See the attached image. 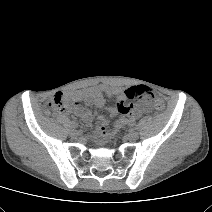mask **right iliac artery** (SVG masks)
<instances>
[{"label": "right iliac artery", "mask_w": 212, "mask_h": 212, "mask_svg": "<svg viewBox=\"0 0 212 212\" xmlns=\"http://www.w3.org/2000/svg\"><path fill=\"white\" fill-rule=\"evenodd\" d=\"M70 125H71L72 128L78 127V123H76L75 121H71Z\"/></svg>", "instance_id": "1"}]
</instances>
